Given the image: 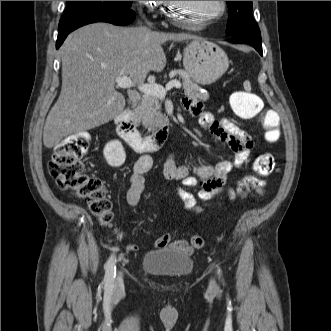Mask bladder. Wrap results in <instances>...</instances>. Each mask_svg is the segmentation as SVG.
I'll list each match as a JSON object with an SVG mask.
<instances>
[{
    "label": "bladder",
    "mask_w": 331,
    "mask_h": 331,
    "mask_svg": "<svg viewBox=\"0 0 331 331\" xmlns=\"http://www.w3.org/2000/svg\"><path fill=\"white\" fill-rule=\"evenodd\" d=\"M141 268L159 278H180L191 273V254L171 247L151 249L144 253Z\"/></svg>",
    "instance_id": "31cf9c89"
}]
</instances>
